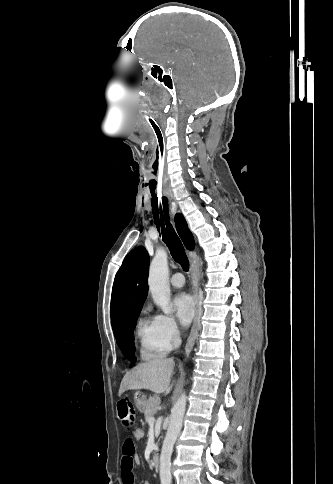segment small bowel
Returning a JSON list of instances; mask_svg holds the SVG:
<instances>
[{
  "mask_svg": "<svg viewBox=\"0 0 333 484\" xmlns=\"http://www.w3.org/2000/svg\"><path fill=\"white\" fill-rule=\"evenodd\" d=\"M116 415L121 425L128 431L135 427V410L131 399L124 395L116 404ZM139 462L133 438L127 437L123 443L121 472L123 484H134L133 467Z\"/></svg>",
  "mask_w": 333,
  "mask_h": 484,
  "instance_id": "small-bowel-1",
  "label": "small bowel"
}]
</instances>
